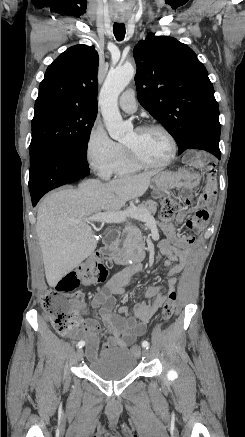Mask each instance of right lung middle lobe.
<instances>
[{
	"label": "right lung middle lobe",
	"instance_id": "dd1d6c3e",
	"mask_svg": "<svg viewBox=\"0 0 245 437\" xmlns=\"http://www.w3.org/2000/svg\"><path fill=\"white\" fill-rule=\"evenodd\" d=\"M97 111L62 104L35 107L32 119L30 162L44 152L86 159L88 140Z\"/></svg>",
	"mask_w": 245,
	"mask_h": 437
}]
</instances>
